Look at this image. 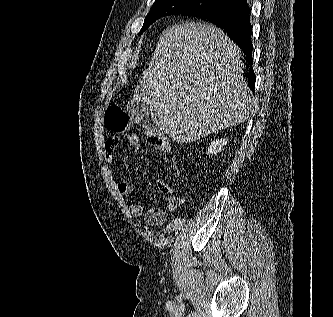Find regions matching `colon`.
<instances>
[{"label":"colon","mask_w":333,"mask_h":317,"mask_svg":"<svg viewBox=\"0 0 333 317\" xmlns=\"http://www.w3.org/2000/svg\"><path fill=\"white\" fill-rule=\"evenodd\" d=\"M140 122L138 116L130 114L119 106H110L105 112V126L112 133H122ZM147 139L151 147L164 153L166 161H173L168 145L160 133L151 130L147 134Z\"/></svg>","instance_id":"1"}]
</instances>
